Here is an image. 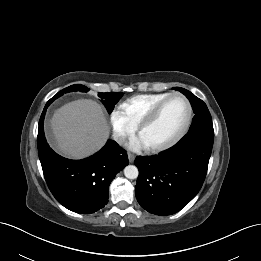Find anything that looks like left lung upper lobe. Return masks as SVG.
<instances>
[{
    "mask_svg": "<svg viewBox=\"0 0 261 261\" xmlns=\"http://www.w3.org/2000/svg\"><path fill=\"white\" fill-rule=\"evenodd\" d=\"M172 89L180 91L189 99L195 113L189 132L204 131L214 133L211 115L206 104L184 88L174 87Z\"/></svg>",
    "mask_w": 261,
    "mask_h": 261,
    "instance_id": "left-lung-upper-lobe-1",
    "label": "left lung upper lobe"
}]
</instances>
